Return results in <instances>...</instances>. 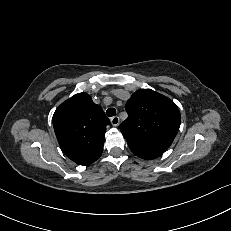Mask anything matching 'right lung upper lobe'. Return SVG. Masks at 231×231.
<instances>
[{"mask_svg":"<svg viewBox=\"0 0 231 231\" xmlns=\"http://www.w3.org/2000/svg\"><path fill=\"white\" fill-rule=\"evenodd\" d=\"M102 108L86 93H78L54 112L53 127L65 155L79 165H89L102 154L106 126Z\"/></svg>","mask_w":231,"mask_h":231,"instance_id":"1","label":"right lung upper lobe"}]
</instances>
